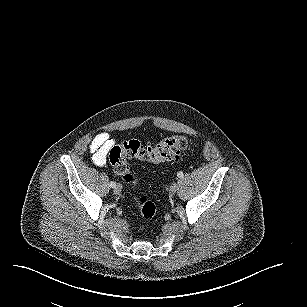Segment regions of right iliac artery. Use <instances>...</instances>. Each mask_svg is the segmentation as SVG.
I'll use <instances>...</instances> for the list:
<instances>
[{
    "instance_id": "obj_1",
    "label": "right iliac artery",
    "mask_w": 307,
    "mask_h": 307,
    "mask_svg": "<svg viewBox=\"0 0 307 307\" xmlns=\"http://www.w3.org/2000/svg\"><path fill=\"white\" fill-rule=\"evenodd\" d=\"M116 186L115 182H110V187L114 188Z\"/></svg>"
}]
</instances>
